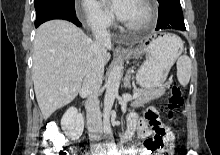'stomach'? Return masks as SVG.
Segmentation results:
<instances>
[{"mask_svg": "<svg viewBox=\"0 0 220 155\" xmlns=\"http://www.w3.org/2000/svg\"><path fill=\"white\" fill-rule=\"evenodd\" d=\"M182 49L180 37L171 33H162L151 39L148 45L131 51L126 57L132 58L142 51L147 54L146 61L137 72V83L144 89L157 90L163 86Z\"/></svg>", "mask_w": 220, "mask_h": 155, "instance_id": "1", "label": "stomach"}]
</instances>
